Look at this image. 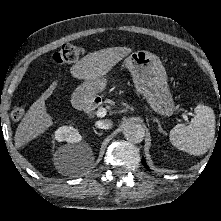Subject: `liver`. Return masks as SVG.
<instances>
[{
  "label": "liver",
  "mask_w": 221,
  "mask_h": 221,
  "mask_svg": "<svg viewBox=\"0 0 221 221\" xmlns=\"http://www.w3.org/2000/svg\"><path fill=\"white\" fill-rule=\"evenodd\" d=\"M132 49L127 47H111L95 51L84 56L73 65L70 73L74 78L91 80L106 75L118 62L128 56ZM58 81H54L49 88L31 105L15 133V145L21 147L44 133L52 124V117L47 113L45 100H47Z\"/></svg>",
  "instance_id": "1"
}]
</instances>
